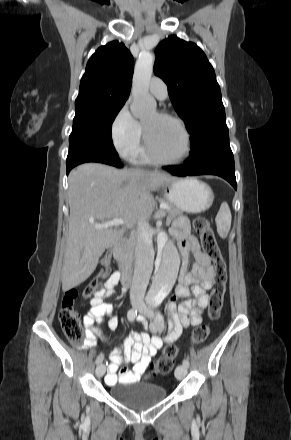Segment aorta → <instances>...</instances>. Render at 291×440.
<instances>
[{
  "instance_id": "obj_1",
  "label": "aorta",
  "mask_w": 291,
  "mask_h": 440,
  "mask_svg": "<svg viewBox=\"0 0 291 440\" xmlns=\"http://www.w3.org/2000/svg\"><path fill=\"white\" fill-rule=\"evenodd\" d=\"M154 55L142 52L135 64L133 75L131 113L144 118L156 110V101L149 94V83L153 73ZM158 267L149 293V302H161L170 292L177 275L179 256L174 243L167 237L158 240Z\"/></svg>"
}]
</instances>
